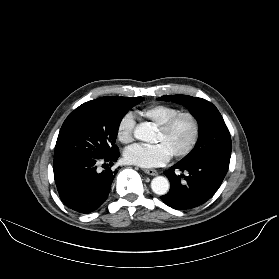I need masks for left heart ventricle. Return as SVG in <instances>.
<instances>
[{"label":"left heart ventricle","instance_id":"left-heart-ventricle-1","mask_svg":"<svg viewBox=\"0 0 279 279\" xmlns=\"http://www.w3.org/2000/svg\"><path fill=\"white\" fill-rule=\"evenodd\" d=\"M192 135V123L189 118L182 117L179 119L171 131L163 134L158 131L155 142L164 143L171 154L181 151L190 141Z\"/></svg>","mask_w":279,"mask_h":279}]
</instances>
